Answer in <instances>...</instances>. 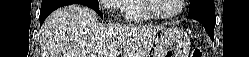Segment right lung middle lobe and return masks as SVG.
<instances>
[{"label":"right lung middle lobe","instance_id":"obj_1","mask_svg":"<svg viewBox=\"0 0 249 57\" xmlns=\"http://www.w3.org/2000/svg\"><path fill=\"white\" fill-rule=\"evenodd\" d=\"M84 4L88 7L99 9V3L98 0H83Z\"/></svg>","mask_w":249,"mask_h":57}]
</instances>
